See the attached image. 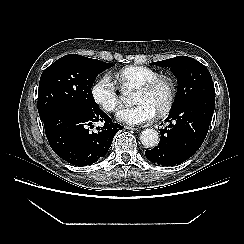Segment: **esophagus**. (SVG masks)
<instances>
[{
  "label": "esophagus",
  "instance_id": "34e87169",
  "mask_svg": "<svg viewBox=\"0 0 244 244\" xmlns=\"http://www.w3.org/2000/svg\"><path fill=\"white\" fill-rule=\"evenodd\" d=\"M125 129H128V130H138L139 128L138 127H133V126H125Z\"/></svg>",
  "mask_w": 244,
  "mask_h": 244
}]
</instances>
